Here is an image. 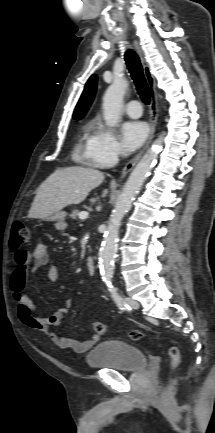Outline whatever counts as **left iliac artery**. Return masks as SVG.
I'll list each match as a JSON object with an SVG mask.
<instances>
[{"label": "left iliac artery", "mask_w": 215, "mask_h": 433, "mask_svg": "<svg viewBox=\"0 0 215 433\" xmlns=\"http://www.w3.org/2000/svg\"><path fill=\"white\" fill-rule=\"evenodd\" d=\"M109 291H110L116 305L119 307V309H121V310L130 309L129 305L126 304L125 300L120 296V294L117 292V289L115 287H113L112 285H109Z\"/></svg>", "instance_id": "obj_1"}]
</instances>
